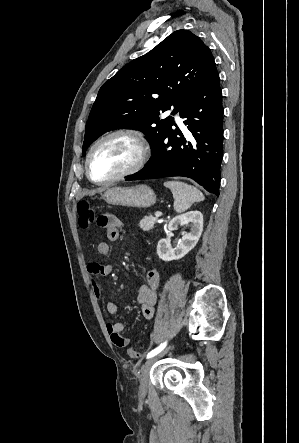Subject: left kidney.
I'll return each instance as SVG.
<instances>
[{
  "label": "left kidney",
  "instance_id": "5707ae66",
  "mask_svg": "<svg viewBox=\"0 0 299 443\" xmlns=\"http://www.w3.org/2000/svg\"><path fill=\"white\" fill-rule=\"evenodd\" d=\"M190 224V232L185 233L176 248H172L169 239H161L157 245V254L163 261L178 260L190 252L199 241L203 231V215L200 211H190L174 217L168 225L169 231L177 230L180 225Z\"/></svg>",
  "mask_w": 299,
  "mask_h": 443
}]
</instances>
